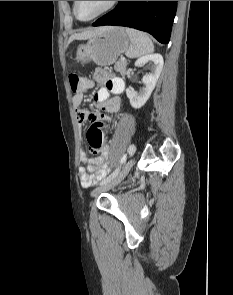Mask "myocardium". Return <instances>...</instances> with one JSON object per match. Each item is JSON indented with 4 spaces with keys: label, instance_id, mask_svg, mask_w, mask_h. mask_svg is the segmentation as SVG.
Here are the masks:
<instances>
[{
    "label": "myocardium",
    "instance_id": "myocardium-1",
    "mask_svg": "<svg viewBox=\"0 0 233 295\" xmlns=\"http://www.w3.org/2000/svg\"><path fill=\"white\" fill-rule=\"evenodd\" d=\"M119 3V1H110L108 3V5L102 9L100 12H98L97 14H95L94 16L88 18V19H82L79 17L78 13H77V5H78V1H74V4H73V11H74V15L76 16V18L80 21H83V22H89V21H92L106 13H108L109 11H111L112 9H114L117 4Z\"/></svg>",
    "mask_w": 233,
    "mask_h": 295
}]
</instances>
